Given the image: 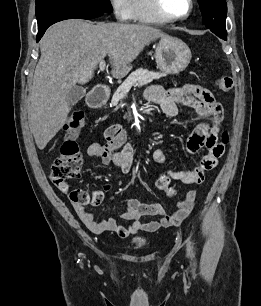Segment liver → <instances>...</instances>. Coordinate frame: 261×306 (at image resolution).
Returning <instances> with one entry per match:
<instances>
[{
  "label": "liver",
  "instance_id": "liver-1",
  "mask_svg": "<svg viewBox=\"0 0 261 306\" xmlns=\"http://www.w3.org/2000/svg\"><path fill=\"white\" fill-rule=\"evenodd\" d=\"M166 36L139 24L70 19L52 25L40 41L29 95L28 120L37 147L43 150L66 123L71 88L89 82L100 61L108 55L112 76L121 79L146 45Z\"/></svg>",
  "mask_w": 261,
  "mask_h": 306
}]
</instances>
